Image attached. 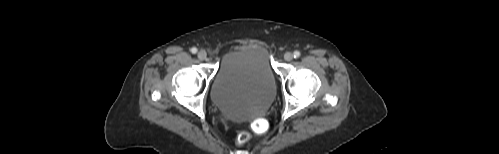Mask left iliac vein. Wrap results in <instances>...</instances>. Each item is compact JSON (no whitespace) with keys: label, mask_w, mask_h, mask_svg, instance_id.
Masks as SVG:
<instances>
[{"label":"left iliac vein","mask_w":499,"mask_h":154,"mask_svg":"<svg viewBox=\"0 0 499 154\" xmlns=\"http://www.w3.org/2000/svg\"><path fill=\"white\" fill-rule=\"evenodd\" d=\"M293 57H294V56H293V54H292L291 52H286V53L284 54V59H285L286 61H291V60L293 59Z\"/></svg>","instance_id":"obj_1"}]
</instances>
